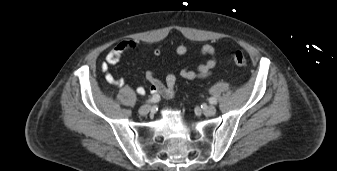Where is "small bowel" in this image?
<instances>
[{"mask_svg":"<svg viewBox=\"0 0 337 171\" xmlns=\"http://www.w3.org/2000/svg\"><path fill=\"white\" fill-rule=\"evenodd\" d=\"M138 49V44L133 40H124L118 43L112 48L105 56L104 62L101 64V70L105 73L106 81L110 84H114L119 87H124L126 81L122 77H115L110 72V67L116 65L121 57L126 52H134ZM161 50L159 48L154 49L153 56L160 57ZM187 53V47L185 45H179L175 54L177 56H184ZM199 54L202 56H208L209 59L204 63L196 67H186L180 70L179 75L186 80L204 79L212 74L213 69L217 64V53L214 46L210 44L203 45ZM145 79L149 83L150 92L153 95H158L164 99H172L175 93V85L177 82V75L175 73H169L166 75L165 83L156 77L152 71L145 73ZM137 94L144 95L146 90L144 87H138L136 89Z\"/></svg>","mask_w":337,"mask_h":171,"instance_id":"c3829d8e","label":"small bowel"}]
</instances>
